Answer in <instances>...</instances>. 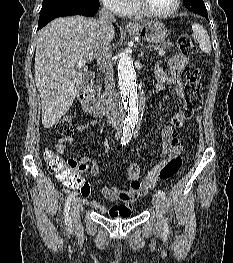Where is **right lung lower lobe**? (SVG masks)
Listing matches in <instances>:
<instances>
[{"label":"right lung lower lobe","instance_id":"obj_1","mask_svg":"<svg viewBox=\"0 0 233 263\" xmlns=\"http://www.w3.org/2000/svg\"><path fill=\"white\" fill-rule=\"evenodd\" d=\"M98 9H99V5L84 2V3H81L78 6L77 10H75V12L71 15L79 14V15H85V16H92L98 11ZM49 22L38 23V29H41L42 27H44Z\"/></svg>","mask_w":233,"mask_h":263}]
</instances>
